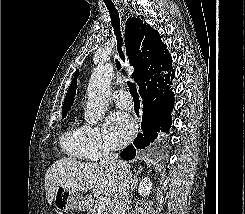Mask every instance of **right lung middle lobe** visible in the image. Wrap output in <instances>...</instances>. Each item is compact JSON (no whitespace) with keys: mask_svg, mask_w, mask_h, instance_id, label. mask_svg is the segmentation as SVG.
<instances>
[{"mask_svg":"<svg viewBox=\"0 0 245 214\" xmlns=\"http://www.w3.org/2000/svg\"><path fill=\"white\" fill-rule=\"evenodd\" d=\"M66 116V113H62V117H65Z\"/></svg>","mask_w":245,"mask_h":214,"instance_id":"obj_1","label":"right lung middle lobe"}]
</instances>
